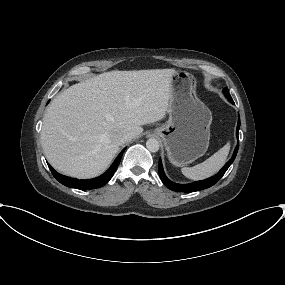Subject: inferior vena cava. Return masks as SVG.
Returning a JSON list of instances; mask_svg holds the SVG:
<instances>
[{
  "label": "inferior vena cava",
  "mask_w": 285,
  "mask_h": 285,
  "mask_svg": "<svg viewBox=\"0 0 285 285\" xmlns=\"http://www.w3.org/2000/svg\"><path fill=\"white\" fill-rule=\"evenodd\" d=\"M112 137H113V140L119 145L124 144L128 140V134H126L123 131H117L113 133Z\"/></svg>",
  "instance_id": "inferior-vena-cava-1"
}]
</instances>
